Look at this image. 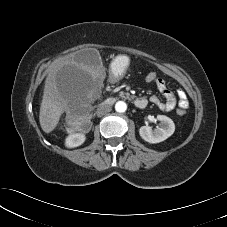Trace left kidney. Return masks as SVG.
<instances>
[{
    "label": "left kidney",
    "instance_id": "obj_1",
    "mask_svg": "<svg viewBox=\"0 0 227 227\" xmlns=\"http://www.w3.org/2000/svg\"><path fill=\"white\" fill-rule=\"evenodd\" d=\"M157 120L160 125L155 129L150 126H142L139 129V134L143 140L149 143H160L170 137L175 131V124L169 117L165 115H157Z\"/></svg>",
    "mask_w": 227,
    "mask_h": 227
}]
</instances>
